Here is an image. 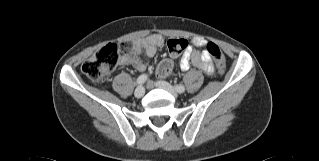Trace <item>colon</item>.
Returning a JSON list of instances; mask_svg holds the SVG:
<instances>
[{"mask_svg":"<svg viewBox=\"0 0 319 161\" xmlns=\"http://www.w3.org/2000/svg\"><path fill=\"white\" fill-rule=\"evenodd\" d=\"M167 48L172 54L181 53L188 51V43L182 40H169ZM205 48L214 58L219 73L223 74L226 68V61L220 47L214 42H208ZM132 52L133 47L130 42L110 43L85 61L82 65V72L93 82L103 83L109 73L117 66L120 54L129 55ZM171 67V62L165 60L159 64L158 71L160 74L169 73Z\"/></svg>","mask_w":319,"mask_h":161,"instance_id":"5ec220e1","label":"colon"}]
</instances>
